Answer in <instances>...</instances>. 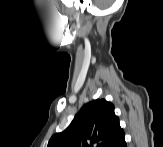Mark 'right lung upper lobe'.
<instances>
[{
	"instance_id": "1",
	"label": "right lung upper lobe",
	"mask_w": 163,
	"mask_h": 147,
	"mask_svg": "<svg viewBox=\"0 0 163 147\" xmlns=\"http://www.w3.org/2000/svg\"><path fill=\"white\" fill-rule=\"evenodd\" d=\"M123 135L114 105L97 99L84 105L64 131L51 137L47 147H112Z\"/></svg>"
}]
</instances>
